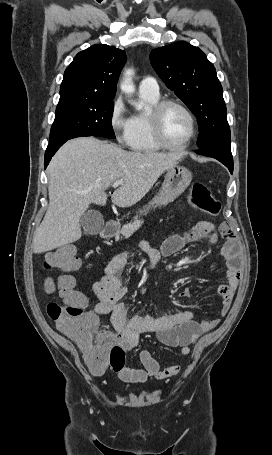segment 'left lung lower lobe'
<instances>
[{"instance_id": "obj_1", "label": "left lung lower lobe", "mask_w": 272, "mask_h": 455, "mask_svg": "<svg viewBox=\"0 0 272 455\" xmlns=\"http://www.w3.org/2000/svg\"><path fill=\"white\" fill-rule=\"evenodd\" d=\"M197 154L209 156L222 162L233 173V158L231 154L230 138L212 142L196 151Z\"/></svg>"}]
</instances>
